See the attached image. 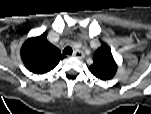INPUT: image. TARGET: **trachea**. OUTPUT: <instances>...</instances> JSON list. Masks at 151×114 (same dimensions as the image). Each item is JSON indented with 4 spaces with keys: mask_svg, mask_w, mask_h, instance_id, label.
<instances>
[{
    "mask_svg": "<svg viewBox=\"0 0 151 114\" xmlns=\"http://www.w3.org/2000/svg\"><path fill=\"white\" fill-rule=\"evenodd\" d=\"M63 53L64 54H72V48L71 47H66L64 50H63Z\"/></svg>",
    "mask_w": 151,
    "mask_h": 114,
    "instance_id": "obj_1",
    "label": "trachea"
}]
</instances>
